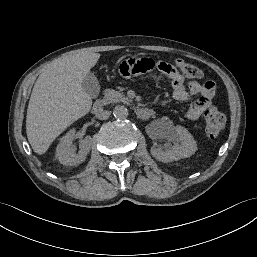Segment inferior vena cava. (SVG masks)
<instances>
[{
    "instance_id": "obj_1",
    "label": "inferior vena cava",
    "mask_w": 257,
    "mask_h": 257,
    "mask_svg": "<svg viewBox=\"0 0 257 257\" xmlns=\"http://www.w3.org/2000/svg\"><path fill=\"white\" fill-rule=\"evenodd\" d=\"M110 114H111L110 111L101 110V111H98V112L96 113V117H97L98 119L105 120V119H108V118H109Z\"/></svg>"
}]
</instances>
